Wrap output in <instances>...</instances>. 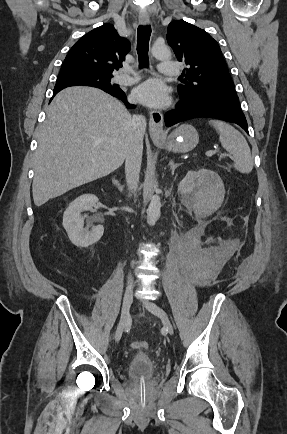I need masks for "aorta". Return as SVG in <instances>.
I'll return each instance as SVG.
<instances>
[{
  "label": "aorta",
  "instance_id": "762f6f07",
  "mask_svg": "<svg viewBox=\"0 0 287 434\" xmlns=\"http://www.w3.org/2000/svg\"><path fill=\"white\" fill-rule=\"evenodd\" d=\"M152 55L159 60H167L171 57L170 49L164 44H154L151 48ZM161 200L159 195H153L147 209V221L150 225L156 223L160 217Z\"/></svg>",
  "mask_w": 287,
  "mask_h": 434
}]
</instances>
